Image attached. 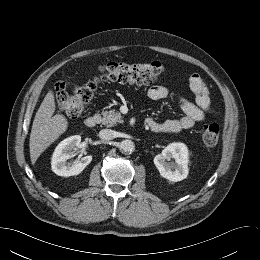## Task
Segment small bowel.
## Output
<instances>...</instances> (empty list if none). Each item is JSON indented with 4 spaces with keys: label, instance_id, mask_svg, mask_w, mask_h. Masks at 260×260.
<instances>
[{
    "label": "small bowel",
    "instance_id": "c3829d8e",
    "mask_svg": "<svg viewBox=\"0 0 260 260\" xmlns=\"http://www.w3.org/2000/svg\"><path fill=\"white\" fill-rule=\"evenodd\" d=\"M191 91L195 94L196 101L192 103L182 97H177L184 115L181 118L167 119L162 122L149 119L148 126L155 132L176 133L183 129L193 127L197 122L202 121L208 114H212L213 108L210 102L209 91L198 74H192L188 80ZM171 96L170 91L164 86H153L148 90V97L151 100H161Z\"/></svg>",
    "mask_w": 260,
    "mask_h": 260
}]
</instances>
